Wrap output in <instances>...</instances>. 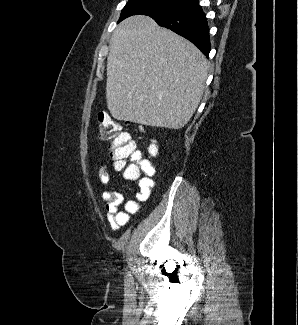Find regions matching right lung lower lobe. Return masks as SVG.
Wrapping results in <instances>:
<instances>
[{
    "label": "right lung lower lobe",
    "instance_id": "obj_1",
    "mask_svg": "<svg viewBox=\"0 0 298 325\" xmlns=\"http://www.w3.org/2000/svg\"><path fill=\"white\" fill-rule=\"evenodd\" d=\"M198 1L194 0L181 9L152 18L160 26L171 29L190 40L208 57L211 49L208 24Z\"/></svg>",
    "mask_w": 298,
    "mask_h": 325
}]
</instances>
